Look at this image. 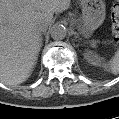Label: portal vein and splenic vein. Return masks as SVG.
<instances>
[{
  "instance_id": "1",
  "label": "portal vein and splenic vein",
  "mask_w": 119,
  "mask_h": 119,
  "mask_svg": "<svg viewBox=\"0 0 119 119\" xmlns=\"http://www.w3.org/2000/svg\"><path fill=\"white\" fill-rule=\"evenodd\" d=\"M89 43H90V45H91L92 47H95V46H96V42H94V41L89 42Z\"/></svg>"
}]
</instances>
